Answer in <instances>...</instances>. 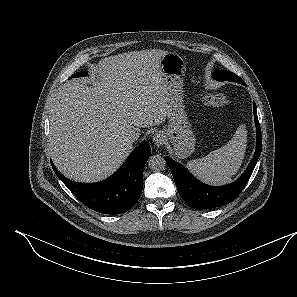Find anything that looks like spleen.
Returning <instances> with one entry per match:
<instances>
[{"instance_id":"obj_1","label":"spleen","mask_w":297,"mask_h":297,"mask_svg":"<svg viewBox=\"0 0 297 297\" xmlns=\"http://www.w3.org/2000/svg\"><path fill=\"white\" fill-rule=\"evenodd\" d=\"M246 142V127L240 125L226 145L201 159L189 161L186 166L191 173L205 183L212 185L228 183L242 164Z\"/></svg>"}]
</instances>
